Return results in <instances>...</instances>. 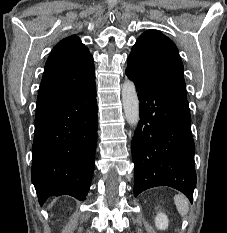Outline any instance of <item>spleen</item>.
<instances>
[{
    "label": "spleen",
    "mask_w": 227,
    "mask_h": 233,
    "mask_svg": "<svg viewBox=\"0 0 227 233\" xmlns=\"http://www.w3.org/2000/svg\"><path fill=\"white\" fill-rule=\"evenodd\" d=\"M174 203L176 208L181 216H186L189 211V201L183 195H175L174 196Z\"/></svg>",
    "instance_id": "spleen-1"
}]
</instances>
